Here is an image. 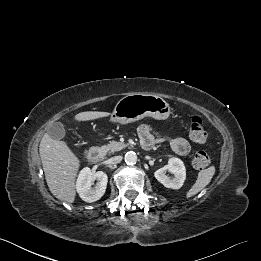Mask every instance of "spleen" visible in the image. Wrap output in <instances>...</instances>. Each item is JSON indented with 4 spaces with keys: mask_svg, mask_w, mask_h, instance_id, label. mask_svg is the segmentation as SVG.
I'll list each match as a JSON object with an SVG mask.
<instances>
[{
    "mask_svg": "<svg viewBox=\"0 0 261 261\" xmlns=\"http://www.w3.org/2000/svg\"><path fill=\"white\" fill-rule=\"evenodd\" d=\"M215 174V167L210 166L205 170H201L198 173L197 180L191 189L187 192L186 197L190 198L197 193H199L203 188H205L211 181L213 175Z\"/></svg>",
    "mask_w": 261,
    "mask_h": 261,
    "instance_id": "1",
    "label": "spleen"
}]
</instances>
